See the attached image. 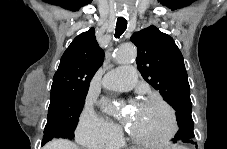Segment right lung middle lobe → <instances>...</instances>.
<instances>
[{"mask_svg": "<svg viewBox=\"0 0 227 149\" xmlns=\"http://www.w3.org/2000/svg\"><path fill=\"white\" fill-rule=\"evenodd\" d=\"M86 95H51L42 144L47 143V139L65 138L71 140L74 138V130Z\"/></svg>", "mask_w": 227, "mask_h": 149, "instance_id": "right-lung-middle-lobe-1", "label": "right lung middle lobe"}]
</instances>
